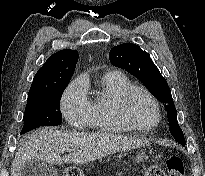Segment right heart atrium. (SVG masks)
I'll return each mask as SVG.
<instances>
[{
    "label": "right heart atrium",
    "instance_id": "1",
    "mask_svg": "<svg viewBox=\"0 0 205 176\" xmlns=\"http://www.w3.org/2000/svg\"><path fill=\"white\" fill-rule=\"evenodd\" d=\"M60 109L67 122L81 128L89 120L90 101L83 77L75 78L64 90L60 99Z\"/></svg>",
    "mask_w": 205,
    "mask_h": 176
}]
</instances>
